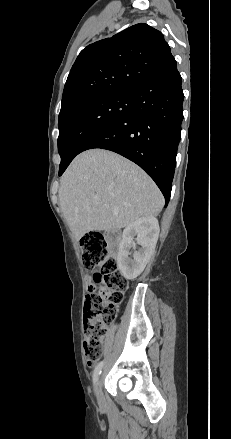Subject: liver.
I'll return each mask as SVG.
<instances>
[{
	"label": "liver",
	"instance_id": "obj_1",
	"mask_svg": "<svg viewBox=\"0 0 231 439\" xmlns=\"http://www.w3.org/2000/svg\"><path fill=\"white\" fill-rule=\"evenodd\" d=\"M59 201L77 240L155 217L164 206L159 188L140 167L104 149L75 157L61 178Z\"/></svg>",
	"mask_w": 231,
	"mask_h": 439
}]
</instances>
